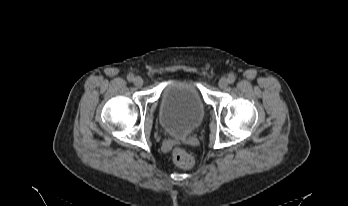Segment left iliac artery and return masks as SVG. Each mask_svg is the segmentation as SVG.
Segmentation results:
<instances>
[{
	"label": "left iliac artery",
	"instance_id": "obj_1",
	"mask_svg": "<svg viewBox=\"0 0 348 206\" xmlns=\"http://www.w3.org/2000/svg\"><path fill=\"white\" fill-rule=\"evenodd\" d=\"M228 82L230 83V84H233L234 82H235V76L234 75H229V77H228Z\"/></svg>",
	"mask_w": 348,
	"mask_h": 206
}]
</instances>
